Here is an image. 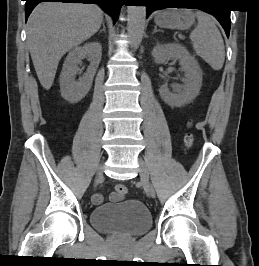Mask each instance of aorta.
<instances>
[{"mask_svg":"<svg viewBox=\"0 0 259 266\" xmlns=\"http://www.w3.org/2000/svg\"><path fill=\"white\" fill-rule=\"evenodd\" d=\"M127 31L132 43V47L137 48L140 44L144 32L146 7L128 6Z\"/></svg>","mask_w":259,"mask_h":266,"instance_id":"1","label":"aorta"}]
</instances>
